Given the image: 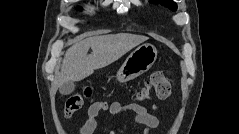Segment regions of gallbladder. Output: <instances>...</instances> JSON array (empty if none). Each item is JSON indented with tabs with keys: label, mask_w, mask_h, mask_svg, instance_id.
I'll list each match as a JSON object with an SVG mask.
<instances>
[{
	"label": "gallbladder",
	"mask_w": 239,
	"mask_h": 134,
	"mask_svg": "<svg viewBox=\"0 0 239 134\" xmlns=\"http://www.w3.org/2000/svg\"><path fill=\"white\" fill-rule=\"evenodd\" d=\"M75 89V84L73 82L64 83L59 87V92L63 95H68L72 93Z\"/></svg>",
	"instance_id": "obj_1"
}]
</instances>
